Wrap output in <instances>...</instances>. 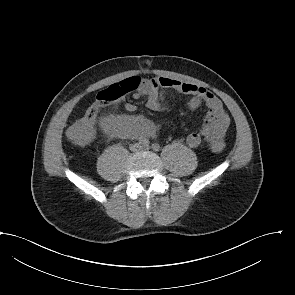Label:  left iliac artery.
<instances>
[{
	"label": "left iliac artery",
	"instance_id": "44dca946",
	"mask_svg": "<svg viewBox=\"0 0 295 295\" xmlns=\"http://www.w3.org/2000/svg\"><path fill=\"white\" fill-rule=\"evenodd\" d=\"M151 147H152V149L154 151H159L160 150V145L158 143H153Z\"/></svg>",
	"mask_w": 295,
	"mask_h": 295
}]
</instances>
